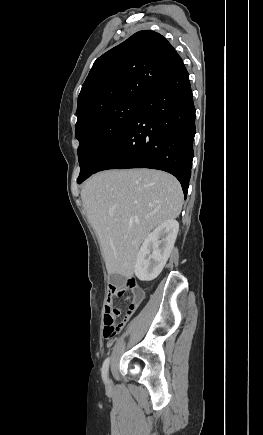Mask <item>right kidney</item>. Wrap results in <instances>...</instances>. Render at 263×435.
I'll list each match as a JSON object with an SVG mask.
<instances>
[{
    "instance_id": "1",
    "label": "right kidney",
    "mask_w": 263,
    "mask_h": 435,
    "mask_svg": "<svg viewBox=\"0 0 263 435\" xmlns=\"http://www.w3.org/2000/svg\"><path fill=\"white\" fill-rule=\"evenodd\" d=\"M179 223L169 219L144 239L137 254L135 275L141 281L154 280L163 270L178 234Z\"/></svg>"
}]
</instances>
